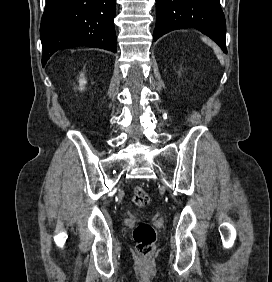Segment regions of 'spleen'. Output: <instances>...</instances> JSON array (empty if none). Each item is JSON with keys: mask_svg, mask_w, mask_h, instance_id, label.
I'll return each mask as SVG.
<instances>
[{"mask_svg": "<svg viewBox=\"0 0 272 282\" xmlns=\"http://www.w3.org/2000/svg\"><path fill=\"white\" fill-rule=\"evenodd\" d=\"M202 40L207 45H209V46H211L213 48L217 58L220 60L221 63H224L223 56H222L220 48L217 45H215L212 41H210L209 39H207L205 37H203Z\"/></svg>", "mask_w": 272, "mask_h": 282, "instance_id": "spleen-1", "label": "spleen"}]
</instances>
